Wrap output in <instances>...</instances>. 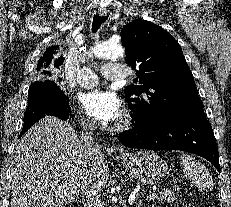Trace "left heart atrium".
Instances as JSON below:
<instances>
[{"instance_id": "1", "label": "left heart atrium", "mask_w": 231, "mask_h": 207, "mask_svg": "<svg viewBox=\"0 0 231 207\" xmlns=\"http://www.w3.org/2000/svg\"><path fill=\"white\" fill-rule=\"evenodd\" d=\"M79 100L87 114L102 123L115 122L123 114L120 98L111 91L92 89L83 92Z\"/></svg>"}]
</instances>
